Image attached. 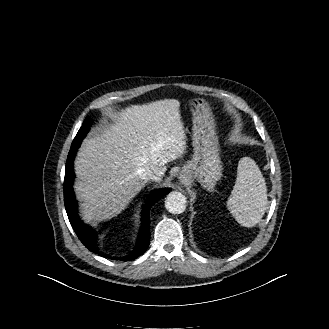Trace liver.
<instances>
[{
    "instance_id": "obj_1",
    "label": "liver",
    "mask_w": 329,
    "mask_h": 329,
    "mask_svg": "<svg viewBox=\"0 0 329 329\" xmlns=\"http://www.w3.org/2000/svg\"><path fill=\"white\" fill-rule=\"evenodd\" d=\"M179 108L176 99L132 105L83 141L75 161V191L85 220L119 214L145 187L144 169L159 170L161 180L166 164L182 157L186 135Z\"/></svg>"
}]
</instances>
